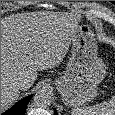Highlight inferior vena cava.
<instances>
[{"instance_id": "602c4592", "label": "inferior vena cava", "mask_w": 115, "mask_h": 115, "mask_svg": "<svg viewBox=\"0 0 115 115\" xmlns=\"http://www.w3.org/2000/svg\"><path fill=\"white\" fill-rule=\"evenodd\" d=\"M14 86L19 90H24L28 87V83L22 79H19L14 83Z\"/></svg>"}]
</instances>
